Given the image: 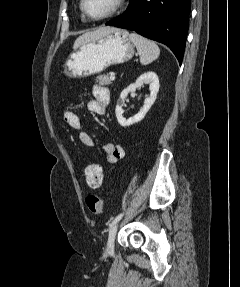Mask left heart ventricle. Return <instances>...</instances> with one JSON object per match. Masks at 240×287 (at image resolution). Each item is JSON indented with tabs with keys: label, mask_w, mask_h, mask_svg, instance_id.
I'll return each mask as SVG.
<instances>
[{
	"label": "left heart ventricle",
	"mask_w": 240,
	"mask_h": 287,
	"mask_svg": "<svg viewBox=\"0 0 240 287\" xmlns=\"http://www.w3.org/2000/svg\"><path fill=\"white\" fill-rule=\"evenodd\" d=\"M114 3V0H86V10L93 16H102L106 14Z\"/></svg>",
	"instance_id": "obj_1"
}]
</instances>
